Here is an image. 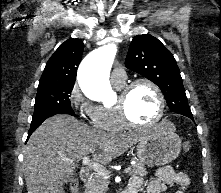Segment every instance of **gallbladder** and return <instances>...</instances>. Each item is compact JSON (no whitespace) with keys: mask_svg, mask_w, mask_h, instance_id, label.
<instances>
[{"mask_svg":"<svg viewBox=\"0 0 221 193\" xmlns=\"http://www.w3.org/2000/svg\"><path fill=\"white\" fill-rule=\"evenodd\" d=\"M73 178V174H70L66 179L64 180V183L69 182Z\"/></svg>","mask_w":221,"mask_h":193,"instance_id":"bac80fb5","label":"gallbladder"}]
</instances>
